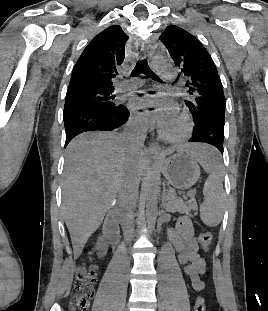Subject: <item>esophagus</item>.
Wrapping results in <instances>:
<instances>
[{
  "mask_svg": "<svg viewBox=\"0 0 268 311\" xmlns=\"http://www.w3.org/2000/svg\"><path fill=\"white\" fill-rule=\"evenodd\" d=\"M136 50L142 55H146V53L148 52V48L146 47L144 42H141L139 45H137ZM149 151L153 155H159L161 151V147L159 146L158 143L152 141L149 144Z\"/></svg>",
  "mask_w": 268,
  "mask_h": 311,
  "instance_id": "obj_1",
  "label": "esophagus"
}]
</instances>
